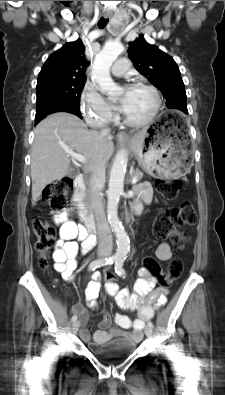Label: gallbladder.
Returning a JSON list of instances; mask_svg holds the SVG:
<instances>
[{"label": "gallbladder", "mask_w": 225, "mask_h": 395, "mask_svg": "<svg viewBox=\"0 0 225 395\" xmlns=\"http://www.w3.org/2000/svg\"><path fill=\"white\" fill-rule=\"evenodd\" d=\"M77 174H78L77 169H75V168H70V169H69L68 175H69L70 177H75V176H77Z\"/></svg>", "instance_id": "gallbladder-1"}]
</instances>
